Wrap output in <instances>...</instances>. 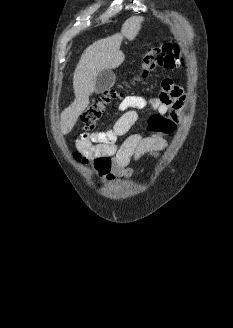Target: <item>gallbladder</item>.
<instances>
[{"label":"gallbladder","mask_w":233,"mask_h":328,"mask_svg":"<svg viewBox=\"0 0 233 328\" xmlns=\"http://www.w3.org/2000/svg\"><path fill=\"white\" fill-rule=\"evenodd\" d=\"M115 74L111 69L102 70L96 77L95 93L100 94L109 90L115 83Z\"/></svg>","instance_id":"1"}]
</instances>
